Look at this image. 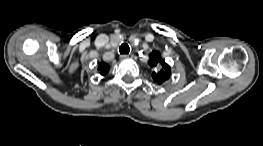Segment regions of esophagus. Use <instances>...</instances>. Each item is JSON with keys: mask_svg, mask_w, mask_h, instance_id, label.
Listing matches in <instances>:
<instances>
[{"mask_svg": "<svg viewBox=\"0 0 263 146\" xmlns=\"http://www.w3.org/2000/svg\"><path fill=\"white\" fill-rule=\"evenodd\" d=\"M130 56L128 55V54H122L121 56H120V59H122V60H125V59H128Z\"/></svg>", "mask_w": 263, "mask_h": 146, "instance_id": "obj_1", "label": "esophagus"}]
</instances>
